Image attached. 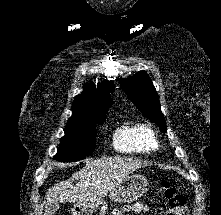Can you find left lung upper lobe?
I'll use <instances>...</instances> for the list:
<instances>
[{
	"label": "left lung upper lobe",
	"mask_w": 221,
	"mask_h": 215,
	"mask_svg": "<svg viewBox=\"0 0 221 215\" xmlns=\"http://www.w3.org/2000/svg\"><path fill=\"white\" fill-rule=\"evenodd\" d=\"M120 84L133 104L149 120L156 123L162 132L166 133V123L161 112L159 97L148 74L145 71H139Z\"/></svg>",
	"instance_id": "1"
}]
</instances>
